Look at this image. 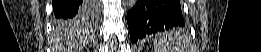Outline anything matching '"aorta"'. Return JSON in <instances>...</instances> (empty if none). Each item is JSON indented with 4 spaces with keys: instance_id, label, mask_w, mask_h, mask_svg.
<instances>
[{
    "instance_id": "aorta-1",
    "label": "aorta",
    "mask_w": 261,
    "mask_h": 52,
    "mask_svg": "<svg viewBox=\"0 0 261 52\" xmlns=\"http://www.w3.org/2000/svg\"><path fill=\"white\" fill-rule=\"evenodd\" d=\"M125 3L129 9H132L133 7H135L137 0H126Z\"/></svg>"
}]
</instances>
